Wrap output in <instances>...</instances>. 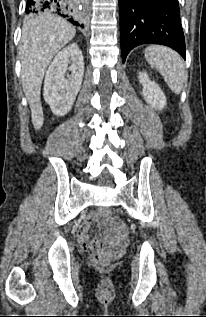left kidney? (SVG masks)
<instances>
[{
	"mask_svg": "<svg viewBox=\"0 0 206 317\" xmlns=\"http://www.w3.org/2000/svg\"><path fill=\"white\" fill-rule=\"evenodd\" d=\"M139 82L143 86L142 95L153 108L162 110L166 106V97L157 83L151 81L146 72H139Z\"/></svg>",
	"mask_w": 206,
	"mask_h": 317,
	"instance_id": "5707ae66",
	"label": "left kidney"
}]
</instances>
